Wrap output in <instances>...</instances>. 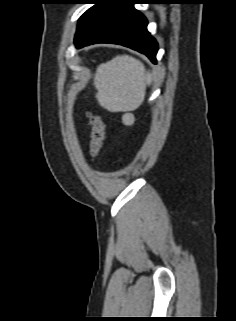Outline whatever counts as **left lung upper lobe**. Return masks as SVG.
I'll return each instance as SVG.
<instances>
[{"mask_svg":"<svg viewBox=\"0 0 236 321\" xmlns=\"http://www.w3.org/2000/svg\"><path fill=\"white\" fill-rule=\"evenodd\" d=\"M85 1H86V3H92L93 0H85ZM85 13H86V12H85ZM85 13H84V14H85ZM84 14L80 17V19H79V21H78V26L80 25Z\"/></svg>","mask_w":236,"mask_h":321,"instance_id":"1","label":"left lung upper lobe"}]
</instances>
